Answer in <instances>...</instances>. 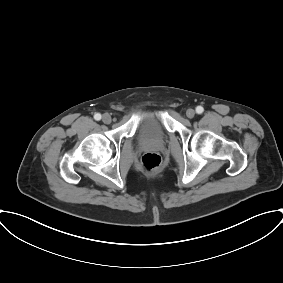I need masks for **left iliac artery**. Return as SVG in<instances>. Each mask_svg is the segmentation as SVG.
Returning <instances> with one entry per match:
<instances>
[{
	"label": "left iliac artery",
	"instance_id": "obj_1",
	"mask_svg": "<svg viewBox=\"0 0 283 283\" xmlns=\"http://www.w3.org/2000/svg\"><path fill=\"white\" fill-rule=\"evenodd\" d=\"M203 111H204V108H203L202 106H197V107H196V112H197L198 114L203 113Z\"/></svg>",
	"mask_w": 283,
	"mask_h": 283
}]
</instances>
